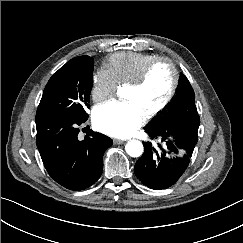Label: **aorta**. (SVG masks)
<instances>
[{
    "instance_id": "obj_1",
    "label": "aorta",
    "mask_w": 243,
    "mask_h": 243,
    "mask_svg": "<svg viewBox=\"0 0 243 243\" xmlns=\"http://www.w3.org/2000/svg\"><path fill=\"white\" fill-rule=\"evenodd\" d=\"M127 154L131 157H139L143 153V144L138 140H132L127 142L125 146Z\"/></svg>"
}]
</instances>
